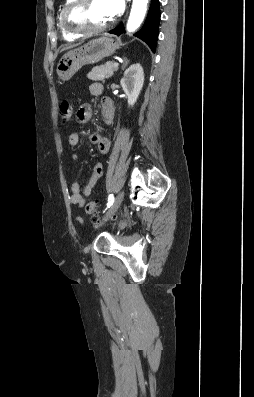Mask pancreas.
Returning a JSON list of instances; mask_svg holds the SVG:
<instances>
[{"label":"pancreas","instance_id":"1","mask_svg":"<svg viewBox=\"0 0 254 397\" xmlns=\"http://www.w3.org/2000/svg\"><path fill=\"white\" fill-rule=\"evenodd\" d=\"M117 67H114V62L109 61L104 65L97 66L87 74V78L92 81L104 80L112 77Z\"/></svg>","mask_w":254,"mask_h":397}]
</instances>
